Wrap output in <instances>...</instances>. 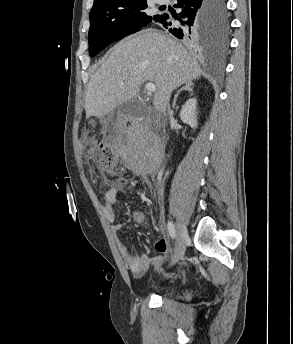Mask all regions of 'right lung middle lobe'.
<instances>
[{
    "label": "right lung middle lobe",
    "instance_id": "dd1d6c3e",
    "mask_svg": "<svg viewBox=\"0 0 293 344\" xmlns=\"http://www.w3.org/2000/svg\"><path fill=\"white\" fill-rule=\"evenodd\" d=\"M146 8V0H120L92 10L88 33L90 56L94 57L112 42L139 31L142 26L161 17L146 15L143 12ZM214 18L223 33L227 27L224 0H216Z\"/></svg>",
    "mask_w": 293,
    "mask_h": 344
}]
</instances>
